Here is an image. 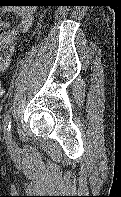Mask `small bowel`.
I'll use <instances>...</instances> for the list:
<instances>
[{"instance_id": "small-bowel-1", "label": "small bowel", "mask_w": 121, "mask_h": 197, "mask_svg": "<svg viewBox=\"0 0 121 197\" xmlns=\"http://www.w3.org/2000/svg\"><path fill=\"white\" fill-rule=\"evenodd\" d=\"M9 5L0 6V15L11 11ZM16 12L19 21L14 27L2 19H0V72L8 69L15 52V43L18 35L29 29L32 22V12L28 7H18Z\"/></svg>"}]
</instances>
